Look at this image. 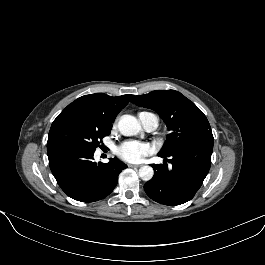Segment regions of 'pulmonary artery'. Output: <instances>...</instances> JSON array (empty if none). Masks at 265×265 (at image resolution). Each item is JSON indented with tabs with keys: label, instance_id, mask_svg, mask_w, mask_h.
Here are the masks:
<instances>
[{
	"label": "pulmonary artery",
	"instance_id": "pulmonary-artery-1",
	"mask_svg": "<svg viewBox=\"0 0 265 265\" xmlns=\"http://www.w3.org/2000/svg\"><path fill=\"white\" fill-rule=\"evenodd\" d=\"M139 120L146 131H153L158 124L157 118L151 113H143L139 115Z\"/></svg>",
	"mask_w": 265,
	"mask_h": 265
}]
</instances>
